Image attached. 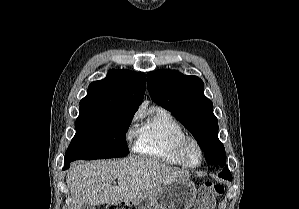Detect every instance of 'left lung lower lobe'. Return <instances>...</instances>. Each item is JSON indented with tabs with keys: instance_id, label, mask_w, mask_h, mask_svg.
Segmentation results:
<instances>
[{
	"instance_id": "left-lung-lower-lobe-1",
	"label": "left lung lower lobe",
	"mask_w": 299,
	"mask_h": 209,
	"mask_svg": "<svg viewBox=\"0 0 299 209\" xmlns=\"http://www.w3.org/2000/svg\"><path fill=\"white\" fill-rule=\"evenodd\" d=\"M218 176L229 181L232 180V176L228 168H225Z\"/></svg>"
}]
</instances>
